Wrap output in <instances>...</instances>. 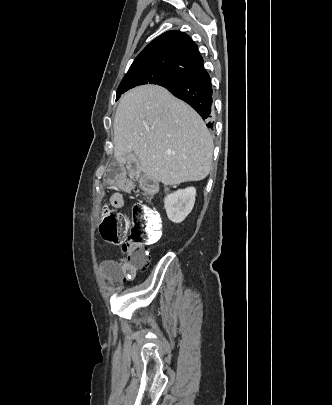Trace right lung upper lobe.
<instances>
[{"instance_id": "obj_1", "label": "right lung upper lobe", "mask_w": 332, "mask_h": 405, "mask_svg": "<svg viewBox=\"0 0 332 405\" xmlns=\"http://www.w3.org/2000/svg\"><path fill=\"white\" fill-rule=\"evenodd\" d=\"M203 69V58L196 43L184 32L171 30L150 42L127 73L157 70L185 78Z\"/></svg>"}]
</instances>
